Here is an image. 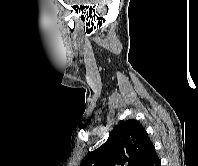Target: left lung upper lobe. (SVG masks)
I'll return each instance as SVG.
<instances>
[{"instance_id":"obj_1","label":"left lung upper lobe","mask_w":198,"mask_h":166,"mask_svg":"<svg viewBox=\"0 0 198 166\" xmlns=\"http://www.w3.org/2000/svg\"><path fill=\"white\" fill-rule=\"evenodd\" d=\"M156 154L145 129L134 119L120 122L107 141L80 166H147Z\"/></svg>"}]
</instances>
